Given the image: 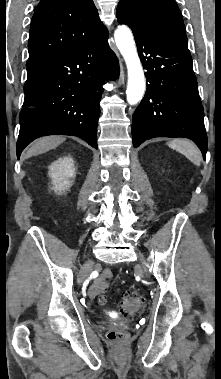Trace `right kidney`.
<instances>
[{
  "label": "right kidney",
  "mask_w": 221,
  "mask_h": 379,
  "mask_svg": "<svg viewBox=\"0 0 221 379\" xmlns=\"http://www.w3.org/2000/svg\"><path fill=\"white\" fill-rule=\"evenodd\" d=\"M73 159L68 157L59 158L49 166V177L52 179L53 190L60 194L68 190L72 185V179L76 176Z\"/></svg>",
  "instance_id": "right-kidney-1"
}]
</instances>
